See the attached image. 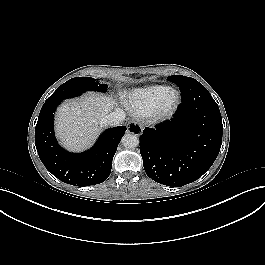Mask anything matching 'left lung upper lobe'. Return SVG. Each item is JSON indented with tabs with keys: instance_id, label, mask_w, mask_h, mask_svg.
I'll return each instance as SVG.
<instances>
[{
	"instance_id": "5c2ea615",
	"label": "left lung upper lobe",
	"mask_w": 265,
	"mask_h": 265,
	"mask_svg": "<svg viewBox=\"0 0 265 265\" xmlns=\"http://www.w3.org/2000/svg\"><path fill=\"white\" fill-rule=\"evenodd\" d=\"M169 80L171 82L175 83L178 87H180L181 84H183V83H187V82H198L197 80H195L193 78L185 77V76H181V75H172V76H169ZM205 94H206V96L204 97V102L205 103H209V104L216 103L214 101V99L212 98V96L210 95V93L206 90V88H205Z\"/></svg>"
}]
</instances>
